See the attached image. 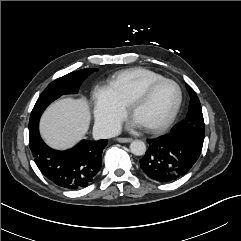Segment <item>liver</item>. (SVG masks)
<instances>
[{
    "instance_id": "obj_1",
    "label": "liver",
    "mask_w": 241,
    "mask_h": 241,
    "mask_svg": "<svg viewBox=\"0 0 241 241\" xmlns=\"http://www.w3.org/2000/svg\"><path fill=\"white\" fill-rule=\"evenodd\" d=\"M90 110L86 99L63 98L51 104L40 121L44 141L55 149L74 146L88 131Z\"/></svg>"
}]
</instances>
